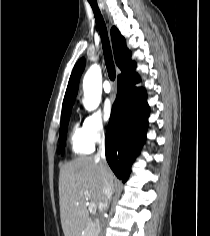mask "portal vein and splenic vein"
<instances>
[{
  "instance_id": "obj_1",
  "label": "portal vein and splenic vein",
  "mask_w": 210,
  "mask_h": 236,
  "mask_svg": "<svg viewBox=\"0 0 210 236\" xmlns=\"http://www.w3.org/2000/svg\"><path fill=\"white\" fill-rule=\"evenodd\" d=\"M89 210H90V212L95 213L96 212V205L95 204H90L89 205Z\"/></svg>"
}]
</instances>
